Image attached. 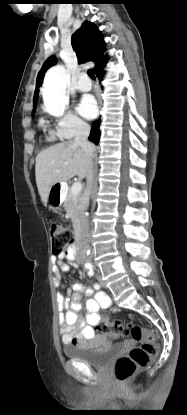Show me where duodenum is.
<instances>
[{
  "label": "duodenum",
  "instance_id": "1",
  "mask_svg": "<svg viewBox=\"0 0 187 415\" xmlns=\"http://www.w3.org/2000/svg\"><path fill=\"white\" fill-rule=\"evenodd\" d=\"M81 243V229L76 226L75 228V246H78ZM75 250V247L72 246L69 250V255H72L73 251Z\"/></svg>",
  "mask_w": 187,
  "mask_h": 415
}]
</instances>
